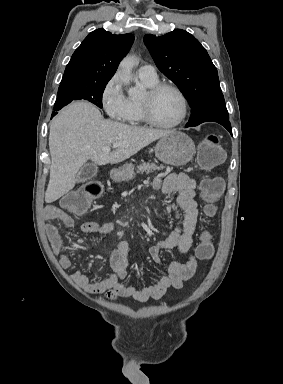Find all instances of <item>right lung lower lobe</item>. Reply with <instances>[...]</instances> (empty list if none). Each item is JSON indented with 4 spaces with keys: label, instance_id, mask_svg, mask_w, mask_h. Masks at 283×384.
I'll list each match as a JSON object with an SVG mask.
<instances>
[{
    "label": "right lung lower lobe",
    "instance_id": "98d812e1",
    "mask_svg": "<svg viewBox=\"0 0 283 384\" xmlns=\"http://www.w3.org/2000/svg\"><path fill=\"white\" fill-rule=\"evenodd\" d=\"M54 110H55V111H57V109H54ZM55 115H56V113H55V112H53V113H52V117H53V116H55Z\"/></svg>",
    "mask_w": 283,
    "mask_h": 384
}]
</instances>
